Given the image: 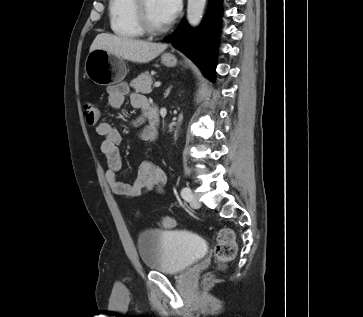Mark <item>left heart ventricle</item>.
Returning a JSON list of instances; mask_svg holds the SVG:
<instances>
[{"mask_svg":"<svg viewBox=\"0 0 363 317\" xmlns=\"http://www.w3.org/2000/svg\"><path fill=\"white\" fill-rule=\"evenodd\" d=\"M145 8L147 16L152 25L157 27L166 25V22L164 21L163 16L159 9L158 0H146Z\"/></svg>","mask_w":363,"mask_h":317,"instance_id":"left-heart-ventricle-1","label":"left heart ventricle"}]
</instances>
